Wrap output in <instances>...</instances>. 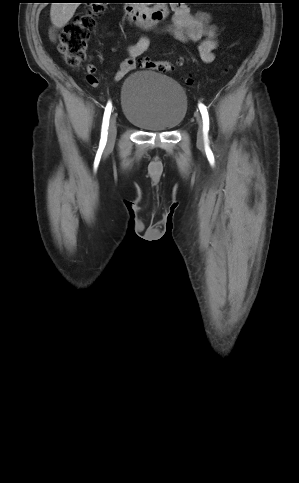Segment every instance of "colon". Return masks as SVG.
Listing matches in <instances>:
<instances>
[{
  "label": "colon",
  "instance_id": "obj_1",
  "mask_svg": "<svg viewBox=\"0 0 299 483\" xmlns=\"http://www.w3.org/2000/svg\"><path fill=\"white\" fill-rule=\"evenodd\" d=\"M94 3L89 12L80 14L67 23L60 36L59 51L66 64L74 69L79 68L85 62L90 35L96 24L94 15L104 9L103 2L96 1ZM140 66L160 73H168L174 70V65L169 61L142 59ZM86 79L90 85L96 82V78L91 74H88ZM190 81L191 79L188 78L187 82Z\"/></svg>",
  "mask_w": 299,
  "mask_h": 483
}]
</instances>
